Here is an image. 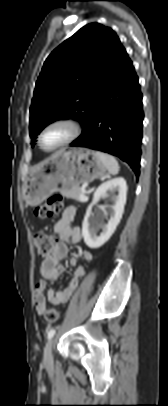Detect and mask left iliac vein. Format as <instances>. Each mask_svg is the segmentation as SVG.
<instances>
[{"instance_id":"obj_1","label":"left iliac vein","mask_w":168,"mask_h":406,"mask_svg":"<svg viewBox=\"0 0 168 406\" xmlns=\"http://www.w3.org/2000/svg\"><path fill=\"white\" fill-rule=\"evenodd\" d=\"M53 346L54 339H50L44 348L43 361L46 365H51L53 363Z\"/></svg>"}]
</instances>
